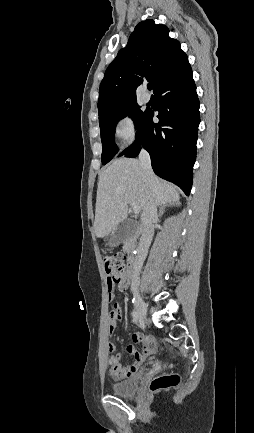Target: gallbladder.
Listing matches in <instances>:
<instances>
[{"mask_svg": "<svg viewBox=\"0 0 254 433\" xmlns=\"http://www.w3.org/2000/svg\"><path fill=\"white\" fill-rule=\"evenodd\" d=\"M138 225L132 220H124L115 228L114 234L110 236L108 245L115 247L122 243L125 239L136 235Z\"/></svg>", "mask_w": 254, "mask_h": 433, "instance_id": "1", "label": "gallbladder"}]
</instances>
